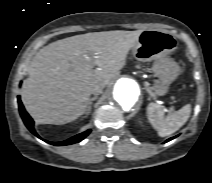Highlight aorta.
Masks as SVG:
<instances>
[{
    "label": "aorta",
    "mask_w": 212,
    "mask_h": 183,
    "mask_svg": "<svg viewBox=\"0 0 212 183\" xmlns=\"http://www.w3.org/2000/svg\"><path fill=\"white\" fill-rule=\"evenodd\" d=\"M140 95L139 84L131 78L123 77L115 82L112 99L118 108L130 111L138 103Z\"/></svg>",
    "instance_id": "obj_1"
}]
</instances>
